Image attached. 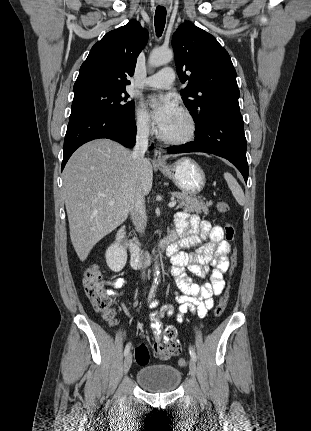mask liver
<instances>
[{
	"mask_svg": "<svg viewBox=\"0 0 311 431\" xmlns=\"http://www.w3.org/2000/svg\"><path fill=\"white\" fill-rule=\"evenodd\" d=\"M138 180L143 196H148L152 164L144 158L138 176L132 152L117 142L93 140L71 156L63 172V196L71 241L81 261L99 239L127 219Z\"/></svg>",
	"mask_w": 311,
	"mask_h": 431,
	"instance_id": "6515ba94",
	"label": "liver"
}]
</instances>
